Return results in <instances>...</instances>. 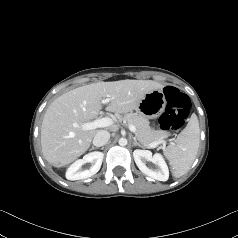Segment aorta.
Returning <instances> with one entry per match:
<instances>
[{"label":"aorta","instance_id":"obj_1","mask_svg":"<svg viewBox=\"0 0 238 238\" xmlns=\"http://www.w3.org/2000/svg\"><path fill=\"white\" fill-rule=\"evenodd\" d=\"M118 143H119L120 146H126L128 141H127L126 138H120Z\"/></svg>","mask_w":238,"mask_h":238}]
</instances>
